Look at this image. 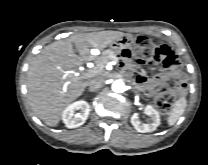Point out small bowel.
I'll return each mask as SVG.
<instances>
[{"label": "small bowel", "mask_w": 208, "mask_h": 165, "mask_svg": "<svg viewBox=\"0 0 208 165\" xmlns=\"http://www.w3.org/2000/svg\"><path fill=\"white\" fill-rule=\"evenodd\" d=\"M123 68L126 73L131 74L135 83L143 87L146 93L150 96L154 94L155 86L158 85L165 78L164 76H157L153 78L152 80H149L144 72H141V71L130 72L129 66H124ZM171 75H173L176 78L181 77L180 74L176 71H173Z\"/></svg>", "instance_id": "c3829d8e"}]
</instances>
